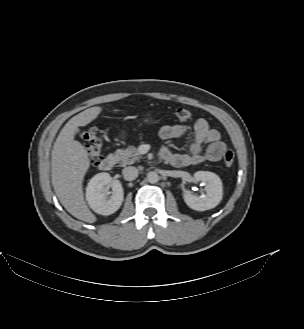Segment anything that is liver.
Wrapping results in <instances>:
<instances>
[{"label": "liver", "instance_id": "liver-1", "mask_svg": "<svg viewBox=\"0 0 304 329\" xmlns=\"http://www.w3.org/2000/svg\"><path fill=\"white\" fill-rule=\"evenodd\" d=\"M102 108H88L72 117L60 131L52 150L51 176L56 195L64 208L74 217L87 223L96 221L83 196V179L89 169L88 153L74 140L76 130L95 120Z\"/></svg>", "mask_w": 304, "mask_h": 329}]
</instances>
